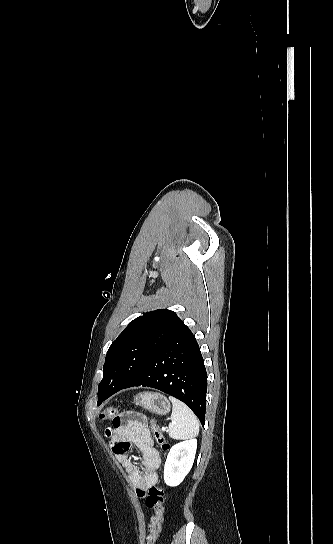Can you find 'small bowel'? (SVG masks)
Returning <instances> with one entry per match:
<instances>
[{
  "label": "small bowel",
  "instance_id": "1",
  "mask_svg": "<svg viewBox=\"0 0 333 544\" xmlns=\"http://www.w3.org/2000/svg\"><path fill=\"white\" fill-rule=\"evenodd\" d=\"M106 435L110 439L111 450L124 468L137 497L144 499L147 490L158 481L157 469L161 464L160 453L154 447L145 419L141 415L124 412L112 420L106 429ZM132 444L142 454L140 465L128 457Z\"/></svg>",
  "mask_w": 333,
  "mask_h": 544
}]
</instances>
